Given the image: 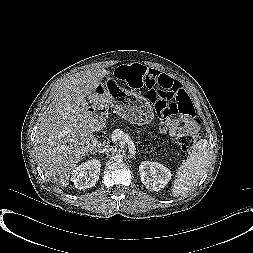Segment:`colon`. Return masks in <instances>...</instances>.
<instances>
[{
	"label": "colon",
	"instance_id": "obj_1",
	"mask_svg": "<svg viewBox=\"0 0 253 253\" xmlns=\"http://www.w3.org/2000/svg\"><path fill=\"white\" fill-rule=\"evenodd\" d=\"M147 68L140 64L120 66L115 75L117 79L131 88L145 87L147 81ZM147 93L148 99L154 105L160 117L168 119L175 115L191 118L194 113L192 101L182 87H169L158 84L150 87ZM193 129L182 134L178 143L183 151L190 150L198 141V122L192 121Z\"/></svg>",
	"mask_w": 253,
	"mask_h": 253
}]
</instances>
